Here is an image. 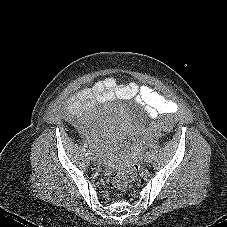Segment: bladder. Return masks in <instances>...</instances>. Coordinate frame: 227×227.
<instances>
[{
    "mask_svg": "<svg viewBox=\"0 0 227 227\" xmlns=\"http://www.w3.org/2000/svg\"><path fill=\"white\" fill-rule=\"evenodd\" d=\"M125 110L128 114H130L132 116H135L137 118L141 117V114L129 105H125Z\"/></svg>",
    "mask_w": 227,
    "mask_h": 227,
    "instance_id": "obj_1",
    "label": "bladder"
}]
</instances>
